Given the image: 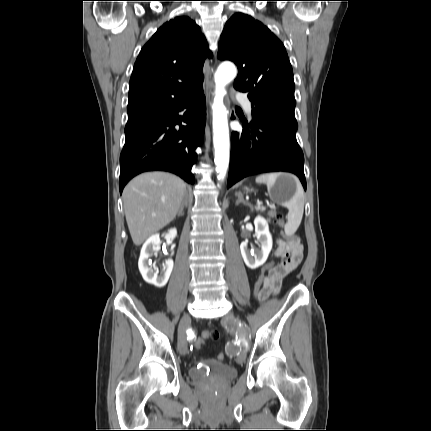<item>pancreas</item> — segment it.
<instances>
[{"label":"pancreas","instance_id":"1","mask_svg":"<svg viewBox=\"0 0 431 431\" xmlns=\"http://www.w3.org/2000/svg\"><path fill=\"white\" fill-rule=\"evenodd\" d=\"M255 209H256V211H260V212H264L266 210V208L263 206H257ZM268 215H269V217L275 216L274 212H268Z\"/></svg>","mask_w":431,"mask_h":431}]
</instances>
